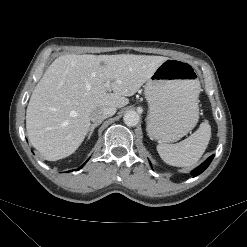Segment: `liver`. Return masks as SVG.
<instances>
[{
  "instance_id": "1",
  "label": "liver",
  "mask_w": 247,
  "mask_h": 247,
  "mask_svg": "<svg viewBox=\"0 0 247 247\" xmlns=\"http://www.w3.org/2000/svg\"><path fill=\"white\" fill-rule=\"evenodd\" d=\"M169 59L148 55H63L36 85L26 112L32 146L49 161L73 154L90 128L95 109L122 108Z\"/></svg>"
}]
</instances>
